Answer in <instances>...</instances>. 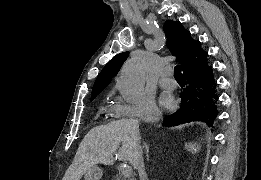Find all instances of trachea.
<instances>
[{"instance_id": "1", "label": "trachea", "mask_w": 261, "mask_h": 180, "mask_svg": "<svg viewBox=\"0 0 261 180\" xmlns=\"http://www.w3.org/2000/svg\"><path fill=\"white\" fill-rule=\"evenodd\" d=\"M174 78L176 79H183V75L181 73V67L180 65H176V67L174 68Z\"/></svg>"}]
</instances>
